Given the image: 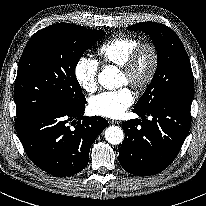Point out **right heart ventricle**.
Masks as SVG:
<instances>
[{
	"label": "right heart ventricle",
	"instance_id": "1",
	"mask_svg": "<svg viewBox=\"0 0 206 206\" xmlns=\"http://www.w3.org/2000/svg\"><path fill=\"white\" fill-rule=\"evenodd\" d=\"M140 42L133 36H115L104 42L98 48V55L104 64H113L122 67L131 51Z\"/></svg>",
	"mask_w": 206,
	"mask_h": 206
}]
</instances>
